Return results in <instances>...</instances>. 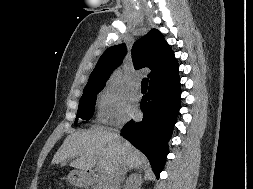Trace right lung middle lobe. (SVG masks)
I'll use <instances>...</instances> for the list:
<instances>
[{"label": "right lung middle lobe", "instance_id": "right-lung-middle-lobe-1", "mask_svg": "<svg viewBox=\"0 0 253 189\" xmlns=\"http://www.w3.org/2000/svg\"><path fill=\"white\" fill-rule=\"evenodd\" d=\"M103 88L86 90L83 92V95L79 102V107L77 111V119L90 120L94 114V106L97 98V94Z\"/></svg>", "mask_w": 253, "mask_h": 189}]
</instances>
